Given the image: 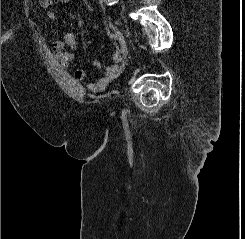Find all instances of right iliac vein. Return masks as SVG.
<instances>
[{
	"instance_id": "1",
	"label": "right iliac vein",
	"mask_w": 245,
	"mask_h": 239,
	"mask_svg": "<svg viewBox=\"0 0 245 239\" xmlns=\"http://www.w3.org/2000/svg\"><path fill=\"white\" fill-rule=\"evenodd\" d=\"M107 22L110 28L114 31L117 38L119 39L124 56L127 57L128 49H127L126 40H125L123 33L111 21L107 20Z\"/></svg>"
}]
</instances>
